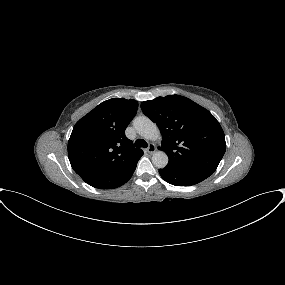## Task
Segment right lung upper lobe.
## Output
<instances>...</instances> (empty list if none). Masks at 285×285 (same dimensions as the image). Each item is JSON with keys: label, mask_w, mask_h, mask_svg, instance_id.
<instances>
[{"label": "right lung upper lobe", "mask_w": 285, "mask_h": 285, "mask_svg": "<svg viewBox=\"0 0 285 285\" xmlns=\"http://www.w3.org/2000/svg\"><path fill=\"white\" fill-rule=\"evenodd\" d=\"M136 100L113 98L95 107L74 126L68 157L74 171L89 185L113 189L126 183L143 155L125 136L136 115Z\"/></svg>", "instance_id": "obj_1"}]
</instances>
